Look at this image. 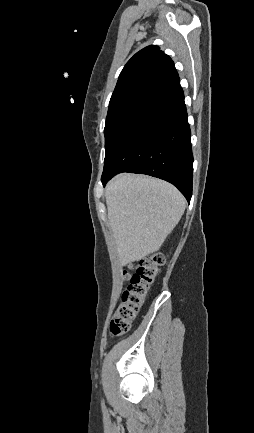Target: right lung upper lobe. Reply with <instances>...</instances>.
<instances>
[{"label":"right lung upper lobe","mask_w":254,"mask_h":433,"mask_svg":"<svg viewBox=\"0 0 254 433\" xmlns=\"http://www.w3.org/2000/svg\"><path fill=\"white\" fill-rule=\"evenodd\" d=\"M178 77L173 61L158 46L137 52L121 71L109 107L128 101L146 102Z\"/></svg>","instance_id":"obj_1"}]
</instances>
